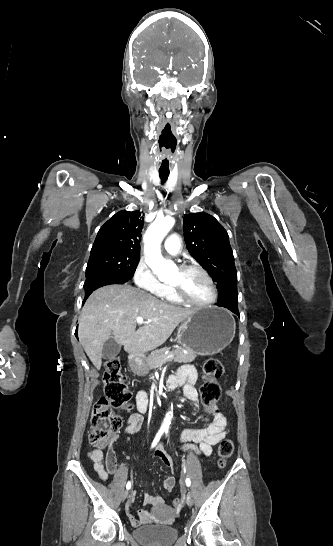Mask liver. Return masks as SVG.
<instances>
[{
  "mask_svg": "<svg viewBox=\"0 0 333 546\" xmlns=\"http://www.w3.org/2000/svg\"><path fill=\"white\" fill-rule=\"evenodd\" d=\"M196 311L168 305L128 284L107 285L87 299L78 322L79 340L99 370L108 340L124 345L126 352L145 354L165 343L178 324ZM137 317L149 323L136 330Z\"/></svg>",
  "mask_w": 333,
  "mask_h": 546,
  "instance_id": "6515ba94",
  "label": "liver"
}]
</instances>
